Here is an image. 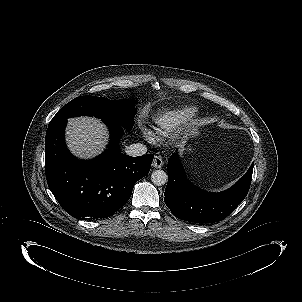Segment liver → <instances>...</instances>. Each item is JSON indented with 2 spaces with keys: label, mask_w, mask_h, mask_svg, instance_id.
I'll return each instance as SVG.
<instances>
[{
  "label": "liver",
  "mask_w": 302,
  "mask_h": 302,
  "mask_svg": "<svg viewBox=\"0 0 302 302\" xmlns=\"http://www.w3.org/2000/svg\"><path fill=\"white\" fill-rule=\"evenodd\" d=\"M66 136L70 151L81 158L96 156L103 150L108 138L107 127L100 120L85 116L69 119Z\"/></svg>",
  "instance_id": "obj_1"
}]
</instances>
